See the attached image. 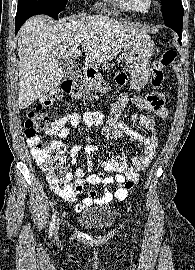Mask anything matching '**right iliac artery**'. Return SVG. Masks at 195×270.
Listing matches in <instances>:
<instances>
[{"label": "right iliac artery", "instance_id": "1", "mask_svg": "<svg viewBox=\"0 0 195 270\" xmlns=\"http://www.w3.org/2000/svg\"><path fill=\"white\" fill-rule=\"evenodd\" d=\"M56 223V212L52 215L50 227H49V235L52 236Z\"/></svg>", "mask_w": 195, "mask_h": 270}]
</instances>
